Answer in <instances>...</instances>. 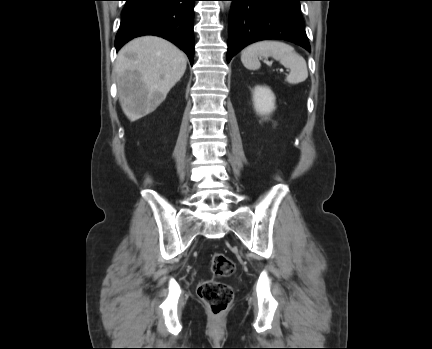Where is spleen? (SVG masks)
I'll return each mask as SVG.
<instances>
[{
    "label": "spleen",
    "instance_id": "spleen-1",
    "mask_svg": "<svg viewBox=\"0 0 432 349\" xmlns=\"http://www.w3.org/2000/svg\"><path fill=\"white\" fill-rule=\"evenodd\" d=\"M273 57L290 69L286 77L289 84H298L308 77L305 59L292 46L281 41L264 40L246 47L241 54V61L249 70H257L261 64L258 57Z\"/></svg>",
    "mask_w": 432,
    "mask_h": 349
}]
</instances>
